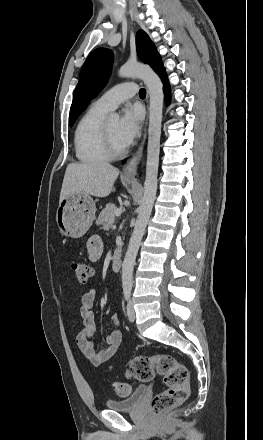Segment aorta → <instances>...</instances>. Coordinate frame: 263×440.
Masks as SVG:
<instances>
[{"label":"aorta","mask_w":263,"mask_h":440,"mask_svg":"<svg viewBox=\"0 0 263 440\" xmlns=\"http://www.w3.org/2000/svg\"><path fill=\"white\" fill-rule=\"evenodd\" d=\"M120 77H137L144 81L150 97L149 128L144 194L141 199L136 224L129 241L122 266V285L132 287L136 256L151 215L157 191V176L160 153L161 122L163 109V84L159 76L148 66L140 63H126L119 69ZM111 119H117L113 113Z\"/></svg>","instance_id":"aorta-1"}]
</instances>
